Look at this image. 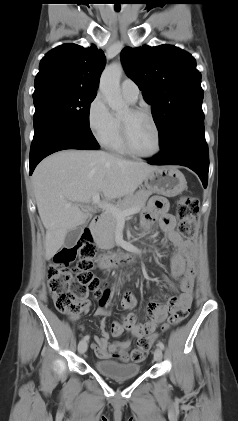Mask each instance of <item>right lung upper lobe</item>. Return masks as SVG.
<instances>
[{"instance_id":"cb5924a9","label":"right lung upper lobe","mask_w":238,"mask_h":421,"mask_svg":"<svg viewBox=\"0 0 238 421\" xmlns=\"http://www.w3.org/2000/svg\"><path fill=\"white\" fill-rule=\"evenodd\" d=\"M104 66V52L96 46L83 48L77 44H63L42 58L35 88L60 85L96 92Z\"/></svg>"}]
</instances>
